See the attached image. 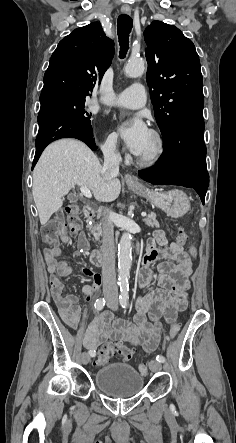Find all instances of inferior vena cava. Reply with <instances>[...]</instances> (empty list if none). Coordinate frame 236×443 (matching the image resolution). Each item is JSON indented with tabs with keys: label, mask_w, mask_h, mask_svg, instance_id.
Returning <instances> with one entry per match:
<instances>
[{
	"label": "inferior vena cava",
	"mask_w": 236,
	"mask_h": 443,
	"mask_svg": "<svg viewBox=\"0 0 236 443\" xmlns=\"http://www.w3.org/2000/svg\"><path fill=\"white\" fill-rule=\"evenodd\" d=\"M104 164L102 174L108 180L115 178L119 173L121 155L116 152V140L112 139L103 150ZM104 222L102 231V280L103 294L106 302L110 305L118 303V289L115 274V246L114 226L111 212L104 211Z\"/></svg>",
	"instance_id": "1"
}]
</instances>
